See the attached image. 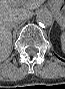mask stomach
I'll return each instance as SVG.
<instances>
[{
    "label": "stomach",
    "instance_id": "1",
    "mask_svg": "<svg viewBox=\"0 0 65 89\" xmlns=\"http://www.w3.org/2000/svg\"><path fill=\"white\" fill-rule=\"evenodd\" d=\"M51 10L55 13L57 20L61 26L65 25V2L53 1L49 4Z\"/></svg>",
    "mask_w": 65,
    "mask_h": 89
}]
</instances>
